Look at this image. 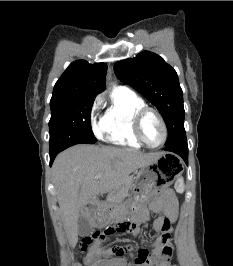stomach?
Listing matches in <instances>:
<instances>
[{
	"mask_svg": "<svg viewBox=\"0 0 233 266\" xmlns=\"http://www.w3.org/2000/svg\"><path fill=\"white\" fill-rule=\"evenodd\" d=\"M169 166H183V161H179L177 152H160V156H156V161L136 171L129 198L141 199L168 185H178L184 167ZM114 208V204H102L94 216L96 225L105 226V228H118V225H126V220H117V216H113L109 209Z\"/></svg>",
	"mask_w": 233,
	"mask_h": 266,
	"instance_id": "stomach-1",
	"label": "stomach"
}]
</instances>
